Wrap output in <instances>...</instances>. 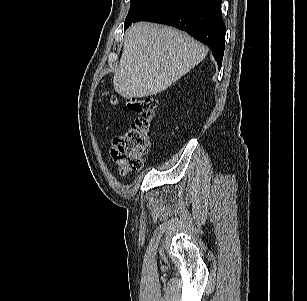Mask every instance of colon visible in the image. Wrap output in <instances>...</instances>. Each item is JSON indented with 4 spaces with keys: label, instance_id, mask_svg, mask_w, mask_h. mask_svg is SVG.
Returning <instances> with one entry per match:
<instances>
[{
    "label": "colon",
    "instance_id": "5ec220e1",
    "mask_svg": "<svg viewBox=\"0 0 307 301\" xmlns=\"http://www.w3.org/2000/svg\"><path fill=\"white\" fill-rule=\"evenodd\" d=\"M126 104L138 117L113 139L111 146L112 158L123 175L137 173L142 169L143 159L148 151L150 125L157 108V100L152 97H128Z\"/></svg>",
    "mask_w": 307,
    "mask_h": 301
}]
</instances>
